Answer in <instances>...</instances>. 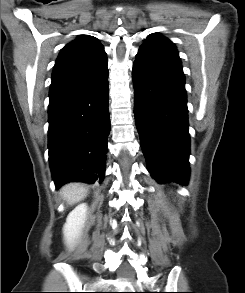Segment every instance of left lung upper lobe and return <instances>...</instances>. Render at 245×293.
<instances>
[{
    "label": "left lung upper lobe",
    "mask_w": 245,
    "mask_h": 293,
    "mask_svg": "<svg viewBox=\"0 0 245 293\" xmlns=\"http://www.w3.org/2000/svg\"><path fill=\"white\" fill-rule=\"evenodd\" d=\"M140 49L151 50L153 52L170 57L180 63L178 51L176 50L174 43L160 34H151L148 36Z\"/></svg>",
    "instance_id": "obj_1"
}]
</instances>
